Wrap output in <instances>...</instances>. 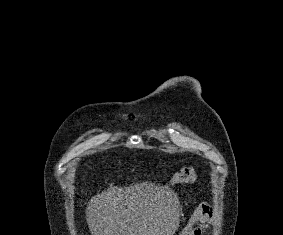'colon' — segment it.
I'll list each match as a JSON object with an SVG mask.
<instances>
[{
    "instance_id": "1",
    "label": "colon",
    "mask_w": 283,
    "mask_h": 235,
    "mask_svg": "<svg viewBox=\"0 0 283 235\" xmlns=\"http://www.w3.org/2000/svg\"><path fill=\"white\" fill-rule=\"evenodd\" d=\"M196 179L197 176L192 167H183L172 177V181L175 184L194 183ZM184 233H188V231H185Z\"/></svg>"
}]
</instances>
